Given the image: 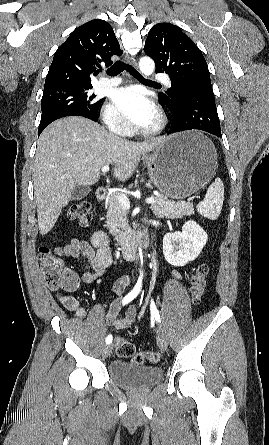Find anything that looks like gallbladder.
<instances>
[{"mask_svg": "<svg viewBox=\"0 0 269 445\" xmlns=\"http://www.w3.org/2000/svg\"><path fill=\"white\" fill-rule=\"evenodd\" d=\"M91 191L89 186L75 185L71 193L72 200H81L85 198Z\"/></svg>", "mask_w": 269, "mask_h": 445, "instance_id": "gallbladder-1", "label": "gallbladder"}]
</instances>
